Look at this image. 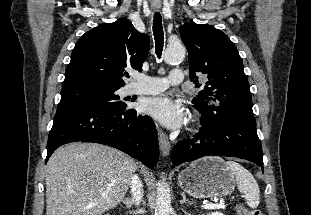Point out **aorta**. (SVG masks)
<instances>
[{
	"label": "aorta",
	"mask_w": 311,
	"mask_h": 215,
	"mask_svg": "<svg viewBox=\"0 0 311 215\" xmlns=\"http://www.w3.org/2000/svg\"><path fill=\"white\" fill-rule=\"evenodd\" d=\"M185 53L182 45L169 46L164 52V61L166 63L180 62L184 59ZM171 209L169 187L163 178L157 187L155 215H170Z\"/></svg>",
	"instance_id": "762f6f07"
}]
</instances>
